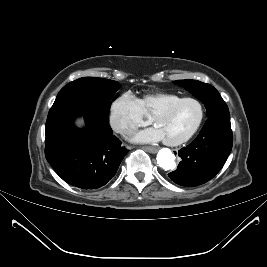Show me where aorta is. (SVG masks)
Returning <instances> with one entry per match:
<instances>
[{"mask_svg": "<svg viewBox=\"0 0 267 267\" xmlns=\"http://www.w3.org/2000/svg\"><path fill=\"white\" fill-rule=\"evenodd\" d=\"M157 163L164 170L175 168V156L169 149H162L157 154Z\"/></svg>", "mask_w": 267, "mask_h": 267, "instance_id": "obj_1", "label": "aorta"}]
</instances>
